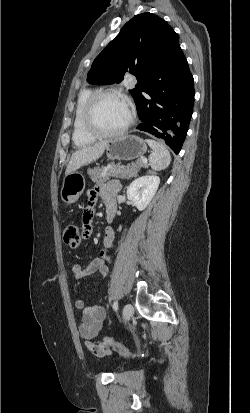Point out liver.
Returning a JSON list of instances; mask_svg holds the SVG:
<instances>
[{
    "label": "liver",
    "instance_id": "1",
    "mask_svg": "<svg viewBox=\"0 0 250 413\" xmlns=\"http://www.w3.org/2000/svg\"><path fill=\"white\" fill-rule=\"evenodd\" d=\"M108 141H101L94 145L84 146L73 152L67 165L65 175L75 172L84 165L99 159L104 153Z\"/></svg>",
    "mask_w": 250,
    "mask_h": 413
}]
</instances>
